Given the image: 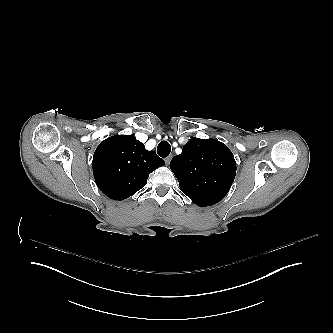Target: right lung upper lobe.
I'll list each match as a JSON object with an SVG mask.
<instances>
[{
  "label": "right lung upper lobe",
  "instance_id": "cb5924a9",
  "mask_svg": "<svg viewBox=\"0 0 333 333\" xmlns=\"http://www.w3.org/2000/svg\"><path fill=\"white\" fill-rule=\"evenodd\" d=\"M165 165L154 151H147L134 135H116L102 141L93 156V174L99 189L114 200L133 195L155 169Z\"/></svg>",
  "mask_w": 333,
  "mask_h": 333
}]
</instances>
